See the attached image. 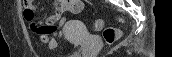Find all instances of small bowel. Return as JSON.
I'll use <instances>...</instances> for the list:
<instances>
[{"label": "small bowel", "mask_w": 172, "mask_h": 57, "mask_svg": "<svg viewBox=\"0 0 172 57\" xmlns=\"http://www.w3.org/2000/svg\"><path fill=\"white\" fill-rule=\"evenodd\" d=\"M23 2L25 8L31 7L35 10L32 0H24ZM54 6L55 13L46 20H41L37 23L34 22L35 15L33 17H29L24 14L25 20L30 23L31 30L37 35L41 42L46 44L51 49L58 45V42L62 37L60 28L63 24V20L60 22L59 26L57 25V22L66 12H78L81 8V2L76 0H57L54 1Z\"/></svg>", "instance_id": "c3829d8e"}]
</instances>
